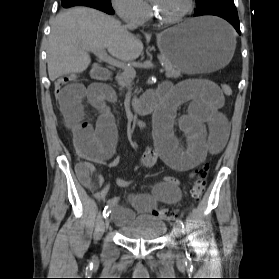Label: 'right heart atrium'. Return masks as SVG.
<instances>
[{
	"label": "right heart atrium",
	"mask_w": 279,
	"mask_h": 279,
	"mask_svg": "<svg viewBox=\"0 0 279 279\" xmlns=\"http://www.w3.org/2000/svg\"><path fill=\"white\" fill-rule=\"evenodd\" d=\"M118 16L130 23L141 24L150 14L149 6L143 0H111Z\"/></svg>",
	"instance_id": "1"
}]
</instances>
